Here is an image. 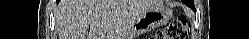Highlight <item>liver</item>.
Segmentation results:
<instances>
[{"label":"liver","mask_w":249,"mask_h":39,"mask_svg":"<svg viewBox=\"0 0 249 39\" xmlns=\"http://www.w3.org/2000/svg\"><path fill=\"white\" fill-rule=\"evenodd\" d=\"M158 5V0L65 2L60 6L59 39H125L134 20Z\"/></svg>","instance_id":"1"}]
</instances>
